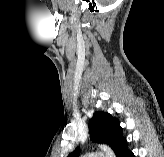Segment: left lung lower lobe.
<instances>
[{
  "instance_id": "1",
  "label": "left lung lower lobe",
  "mask_w": 164,
  "mask_h": 157,
  "mask_svg": "<svg viewBox=\"0 0 164 157\" xmlns=\"http://www.w3.org/2000/svg\"><path fill=\"white\" fill-rule=\"evenodd\" d=\"M115 157H135L133 152H131L127 147L126 139L122 140L115 148Z\"/></svg>"
}]
</instances>
